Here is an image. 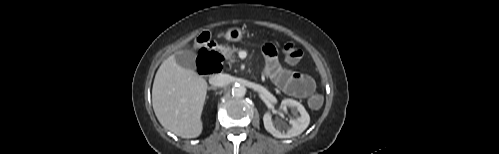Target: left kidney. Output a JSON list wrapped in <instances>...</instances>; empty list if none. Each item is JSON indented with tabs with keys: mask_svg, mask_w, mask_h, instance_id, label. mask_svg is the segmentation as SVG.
Here are the masks:
<instances>
[{
	"mask_svg": "<svg viewBox=\"0 0 499 154\" xmlns=\"http://www.w3.org/2000/svg\"><path fill=\"white\" fill-rule=\"evenodd\" d=\"M281 106L284 110H286L288 107H291L292 110L295 113H299L300 116L298 118H292L289 121L292 127L285 133L280 126H274L271 113L266 112L263 116L265 129L276 138H291L300 135L310 123V116L307 113L306 109L301 103L293 99L282 100Z\"/></svg>",
	"mask_w": 499,
	"mask_h": 154,
	"instance_id": "5707ae66",
	"label": "left kidney"
}]
</instances>
